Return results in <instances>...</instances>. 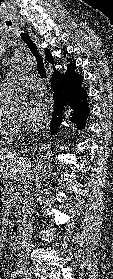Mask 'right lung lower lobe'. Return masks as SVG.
<instances>
[{
    "instance_id": "98d812e1",
    "label": "right lung lower lobe",
    "mask_w": 113,
    "mask_h": 279,
    "mask_svg": "<svg viewBox=\"0 0 113 279\" xmlns=\"http://www.w3.org/2000/svg\"><path fill=\"white\" fill-rule=\"evenodd\" d=\"M75 67L68 70L66 75L56 74L51 77V85L54 91V112L50 123V131L55 134L59 131L62 121V109L67 104L73 111L72 122L77 129L82 130L86 124V117L89 114L87 104V92L81 87L82 76L74 71ZM64 118V117H63Z\"/></svg>"
}]
</instances>
